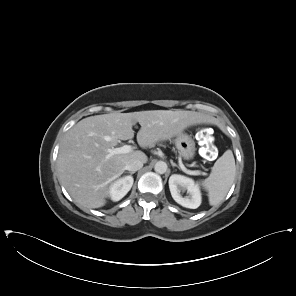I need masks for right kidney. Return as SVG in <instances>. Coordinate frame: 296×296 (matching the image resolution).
Listing matches in <instances>:
<instances>
[{
  "instance_id": "ca27d5eb",
  "label": "right kidney",
  "mask_w": 296,
  "mask_h": 296,
  "mask_svg": "<svg viewBox=\"0 0 296 296\" xmlns=\"http://www.w3.org/2000/svg\"><path fill=\"white\" fill-rule=\"evenodd\" d=\"M134 179L132 176H125L114 181L109 187V197L112 201L121 200L131 189Z\"/></svg>"
}]
</instances>
